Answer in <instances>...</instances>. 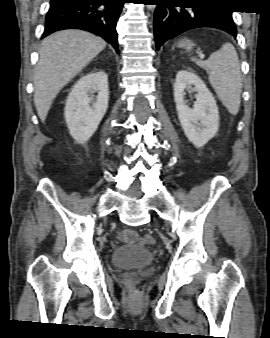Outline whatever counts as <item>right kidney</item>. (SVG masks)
Masks as SVG:
<instances>
[{
	"label": "right kidney",
	"instance_id": "1",
	"mask_svg": "<svg viewBox=\"0 0 270 338\" xmlns=\"http://www.w3.org/2000/svg\"><path fill=\"white\" fill-rule=\"evenodd\" d=\"M91 93H97L95 101ZM108 100V77L104 71L85 75L73 86L64 115L69 133L78 143H85L97 130L107 111Z\"/></svg>",
	"mask_w": 270,
	"mask_h": 338
}]
</instances>
